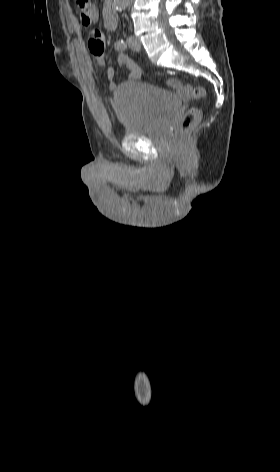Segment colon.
<instances>
[{
    "instance_id": "5ec220e1",
    "label": "colon",
    "mask_w": 280,
    "mask_h": 472,
    "mask_svg": "<svg viewBox=\"0 0 280 472\" xmlns=\"http://www.w3.org/2000/svg\"><path fill=\"white\" fill-rule=\"evenodd\" d=\"M79 10L80 20L83 26H90L96 18V8L90 0H76ZM192 98L201 101L205 97V89L196 86L192 89ZM201 117V111L198 107H191L182 117L179 124V134L181 138H187L193 127L197 124Z\"/></svg>"
}]
</instances>
